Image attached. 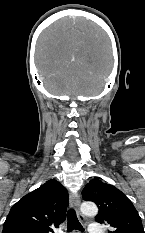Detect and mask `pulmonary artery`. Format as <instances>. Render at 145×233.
I'll return each instance as SVG.
<instances>
[{"label":"pulmonary artery","mask_w":145,"mask_h":233,"mask_svg":"<svg viewBox=\"0 0 145 233\" xmlns=\"http://www.w3.org/2000/svg\"><path fill=\"white\" fill-rule=\"evenodd\" d=\"M89 233H103L102 226L99 223H92L88 227Z\"/></svg>","instance_id":"e3ab8cb5"}]
</instances>
